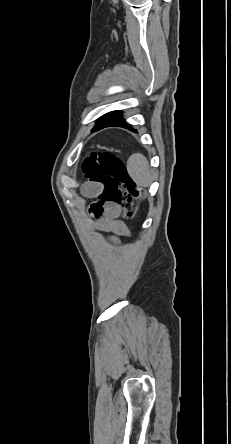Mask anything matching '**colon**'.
Segmentation results:
<instances>
[{"instance_id": "colon-1", "label": "colon", "mask_w": 231, "mask_h": 444, "mask_svg": "<svg viewBox=\"0 0 231 444\" xmlns=\"http://www.w3.org/2000/svg\"><path fill=\"white\" fill-rule=\"evenodd\" d=\"M82 168L91 183L105 186L99 201L92 206L94 215H100L103 204L110 202L118 205L128 218L135 217L136 200L145 192L128 174L118 150L102 147L93 151L84 160Z\"/></svg>"}]
</instances>
